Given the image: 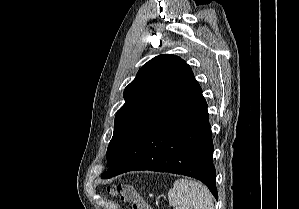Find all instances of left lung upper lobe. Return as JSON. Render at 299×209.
<instances>
[{
	"mask_svg": "<svg viewBox=\"0 0 299 209\" xmlns=\"http://www.w3.org/2000/svg\"><path fill=\"white\" fill-rule=\"evenodd\" d=\"M194 79L190 66L172 54L156 56L139 69L125 88V104L115 116L114 133L107 149L109 169L148 119Z\"/></svg>",
	"mask_w": 299,
	"mask_h": 209,
	"instance_id": "1",
	"label": "left lung upper lobe"
}]
</instances>
